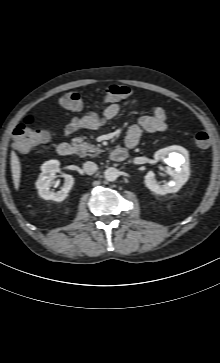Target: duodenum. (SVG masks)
<instances>
[{
    "instance_id": "410a0bca",
    "label": "duodenum",
    "mask_w": 220,
    "mask_h": 363,
    "mask_svg": "<svg viewBox=\"0 0 220 363\" xmlns=\"http://www.w3.org/2000/svg\"><path fill=\"white\" fill-rule=\"evenodd\" d=\"M57 153L62 157L71 156L74 153V146L69 142H62L57 146ZM127 154L125 148H115L111 151L110 157L114 162H122L127 158Z\"/></svg>"
}]
</instances>
